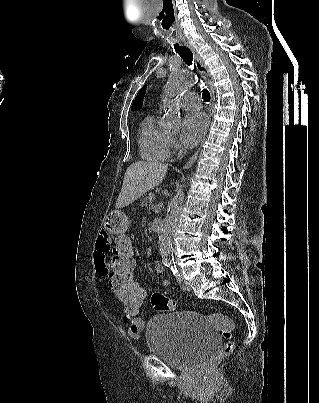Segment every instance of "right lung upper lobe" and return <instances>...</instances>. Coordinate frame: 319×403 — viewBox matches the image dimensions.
Instances as JSON below:
<instances>
[{
    "label": "right lung upper lobe",
    "instance_id": "1",
    "mask_svg": "<svg viewBox=\"0 0 319 403\" xmlns=\"http://www.w3.org/2000/svg\"><path fill=\"white\" fill-rule=\"evenodd\" d=\"M146 91V86H144L137 94L135 101L132 104V110L136 111L141 108L143 104V98Z\"/></svg>",
    "mask_w": 319,
    "mask_h": 403
}]
</instances>
